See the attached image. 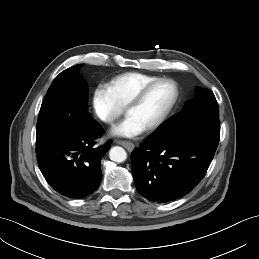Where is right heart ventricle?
I'll return each instance as SVG.
<instances>
[{
  "mask_svg": "<svg viewBox=\"0 0 259 259\" xmlns=\"http://www.w3.org/2000/svg\"><path fill=\"white\" fill-rule=\"evenodd\" d=\"M157 76L138 72H127L112 78L106 85L111 96L121 108L144 85L157 79Z\"/></svg>",
  "mask_w": 259,
  "mask_h": 259,
  "instance_id": "obj_1",
  "label": "right heart ventricle"
}]
</instances>
